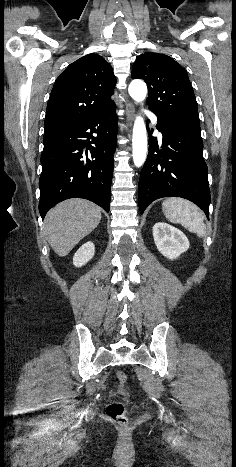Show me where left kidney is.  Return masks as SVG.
Returning <instances> with one entry per match:
<instances>
[{"instance_id":"left-kidney-1","label":"left kidney","mask_w":236,"mask_h":467,"mask_svg":"<svg viewBox=\"0 0 236 467\" xmlns=\"http://www.w3.org/2000/svg\"><path fill=\"white\" fill-rule=\"evenodd\" d=\"M153 238L159 252L170 260L178 258L189 248L185 234L164 222H158L153 226Z\"/></svg>"}]
</instances>
